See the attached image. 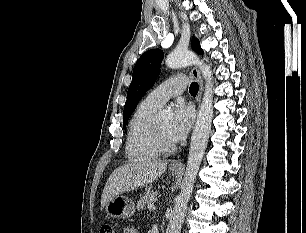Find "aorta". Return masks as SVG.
<instances>
[{
    "mask_svg": "<svg viewBox=\"0 0 306 233\" xmlns=\"http://www.w3.org/2000/svg\"><path fill=\"white\" fill-rule=\"evenodd\" d=\"M165 63L172 69L197 65L205 79V92L192 132L187 167L182 181L181 192L175 199L173 214L166 230V233H180L187 204L211 131L213 119V76L210 66L206 65L193 52L188 50H174L167 56ZM165 116L166 113H161V118Z\"/></svg>",
    "mask_w": 306,
    "mask_h": 233,
    "instance_id": "1",
    "label": "aorta"
}]
</instances>
